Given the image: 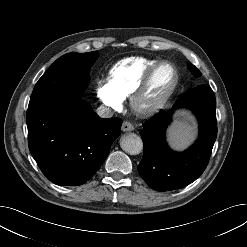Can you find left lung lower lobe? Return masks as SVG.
Wrapping results in <instances>:
<instances>
[{"label":"left lung lower lobe","mask_w":247,"mask_h":247,"mask_svg":"<svg viewBox=\"0 0 247 247\" xmlns=\"http://www.w3.org/2000/svg\"><path fill=\"white\" fill-rule=\"evenodd\" d=\"M188 107L197 115L200 134L188 150L174 152L166 144L165 132L173 111L161 110L143 124V158L138 172L156 191L183 188L205 170L217 137L216 99L208 85H199L182 95L173 109Z\"/></svg>","instance_id":"obj_1"}]
</instances>
